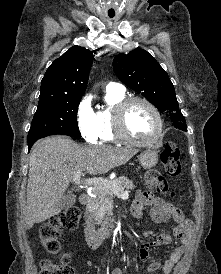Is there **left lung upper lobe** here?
Instances as JSON below:
<instances>
[{
  "mask_svg": "<svg viewBox=\"0 0 221 274\" xmlns=\"http://www.w3.org/2000/svg\"><path fill=\"white\" fill-rule=\"evenodd\" d=\"M113 69L125 85L142 94L161 113L170 114L176 128L187 129L168 74L147 51L135 49L128 54H118L113 60Z\"/></svg>",
  "mask_w": 221,
  "mask_h": 274,
  "instance_id": "left-lung-upper-lobe-1",
  "label": "left lung upper lobe"
}]
</instances>
